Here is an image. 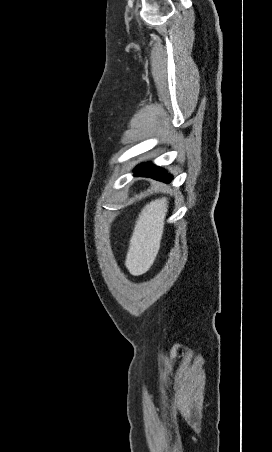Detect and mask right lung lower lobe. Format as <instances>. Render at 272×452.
Returning a JSON list of instances; mask_svg holds the SVG:
<instances>
[{
	"instance_id": "98d812e1",
	"label": "right lung lower lobe",
	"mask_w": 272,
	"mask_h": 452,
	"mask_svg": "<svg viewBox=\"0 0 272 452\" xmlns=\"http://www.w3.org/2000/svg\"><path fill=\"white\" fill-rule=\"evenodd\" d=\"M134 173L135 176L150 177L165 183H170L172 180V176L170 174L151 163L139 165L136 169H134Z\"/></svg>"
}]
</instances>
